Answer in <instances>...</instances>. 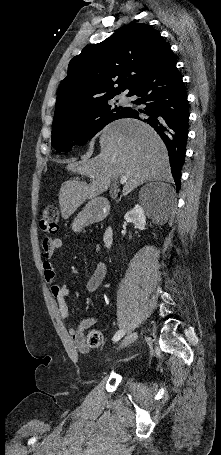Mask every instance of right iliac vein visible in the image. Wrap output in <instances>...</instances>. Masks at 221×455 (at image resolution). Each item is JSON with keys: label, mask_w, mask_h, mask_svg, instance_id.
I'll use <instances>...</instances> for the list:
<instances>
[{"label": "right iliac vein", "mask_w": 221, "mask_h": 455, "mask_svg": "<svg viewBox=\"0 0 221 455\" xmlns=\"http://www.w3.org/2000/svg\"><path fill=\"white\" fill-rule=\"evenodd\" d=\"M137 337H138L137 333H132V334L127 335L124 338V340L122 341V343L119 345V349L128 346L129 344L134 342L137 339Z\"/></svg>", "instance_id": "63e3f726"}]
</instances>
